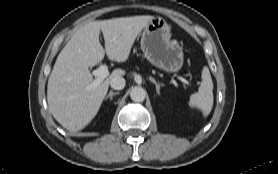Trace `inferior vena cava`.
I'll list each match as a JSON object with an SVG mask.
<instances>
[{
    "mask_svg": "<svg viewBox=\"0 0 278 174\" xmlns=\"http://www.w3.org/2000/svg\"><path fill=\"white\" fill-rule=\"evenodd\" d=\"M110 85L115 90H122L125 87V79L122 76H116L111 79Z\"/></svg>",
    "mask_w": 278,
    "mask_h": 174,
    "instance_id": "1",
    "label": "inferior vena cava"
}]
</instances>
